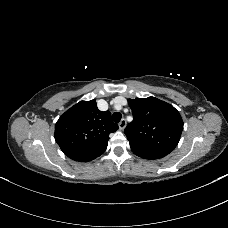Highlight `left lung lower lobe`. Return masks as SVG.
I'll use <instances>...</instances> for the list:
<instances>
[{"label":"left lung lower lobe","mask_w":228,"mask_h":228,"mask_svg":"<svg viewBox=\"0 0 228 228\" xmlns=\"http://www.w3.org/2000/svg\"><path fill=\"white\" fill-rule=\"evenodd\" d=\"M133 153L141 158L148 159V160L160 159L164 157V155L156 154V153L137 152V151H133Z\"/></svg>","instance_id":"left-lung-lower-lobe-1"}]
</instances>
